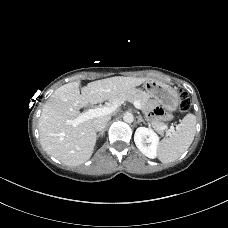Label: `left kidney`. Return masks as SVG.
<instances>
[{
    "label": "left kidney",
    "mask_w": 228,
    "mask_h": 228,
    "mask_svg": "<svg viewBox=\"0 0 228 228\" xmlns=\"http://www.w3.org/2000/svg\"><path fill=\"white\" fill-rule=\"evenodd\" d=\"M134 142L137 148L148 158L157 156L159 137L150 128L139 127L134 134Z\"/></svg>",
    "instance_id": "5707ae66"
}]
</instances>
